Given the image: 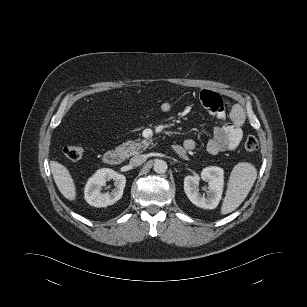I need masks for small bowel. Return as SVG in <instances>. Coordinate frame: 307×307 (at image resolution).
Listing matches in <instances>:
<instances>
[{
  "instance_id": "small-bowel-1",
  "label": "small bowel",
  "mask_w": 307,
  "mask_h": 307,
  "mask_svg": "<svg viewBox=\"0 0 307 307\" xmlns=\"http://www.w3.org/2000/svg\"><path fill=\"white\" fill-rule=\"evenodd\" d=\"M200 100L209 113L222 121V125L215 128L211 139L206 145V150L211 155H216L227 150H234L240 143L243 131L242 125L245 121V112L239 103H235L230 112L229 120H226L224 109V100L221 96L211 91H203L200 94ZM161 109L165 113L173 110V103L164 101ZM197 143L193 139H186L182 146H176L174 150L179 155H185L187 152L194 151Z\"/></svg>"
}]
</instances>
